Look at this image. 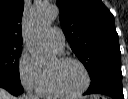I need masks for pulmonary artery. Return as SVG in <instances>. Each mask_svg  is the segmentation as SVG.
<instances>
[{"mask_svg": "<svg viewBox=\"0 0 128 99\" xmlns=\"http://www.w3.org/2000/svg\"><path fill=\"white\" fill-rule=\"evenodd\" d=\"M48 41L51 47L59 54L63 52L65 37L58 27L49 29L47 33Z\"/></svg>", "mask_w": 128, "mask_h": 99, "instance_id": "obj_1", "label": "pulmonary artery"}]
</instances>
